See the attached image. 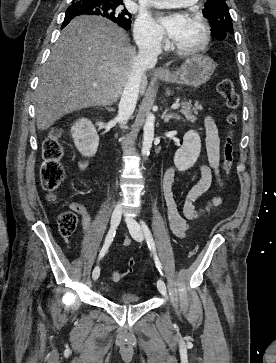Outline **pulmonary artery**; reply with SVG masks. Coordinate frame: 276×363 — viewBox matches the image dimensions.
I'll return each mask as SVG.
<instances>
[{
    "instance_id": "e3ab8cb5",
    "label": "pulmonary artery",
    "mask_w": 276,
    "mask_h": 363,
    "mask_svg": "<svg viewBox=\"0 0 276 363\" xmlns=\"http://www.w3.org/2000/svg\"><path fill=\"white\" fill-rule=\"evenodd\" d=\"M196 0H153V5L161 8H177L193 4Z\"/></svg>"
}]
</instances>
